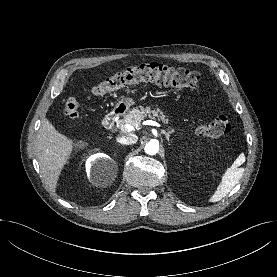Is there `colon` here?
Listing matches in <instances>:
<instances>
[{
	"label": "colon",
	"instance_id": "colon-1",
	"mask_svg": "<svg viewBox=\"0 0 277 277\" xmlns=\"http://www.w3.org/2000/svg\"><path fill=\"white\" fill-rule=\"evenodd\" d=\"M141 82H153L158 85L176 88L199 89L200 76L197 72L185 69H174L162 64L152 63L131 68L115 74L90 88L93 95H103L128 85ZM80 104L74 97H69L64 105V114L75 119L79 116ZM231 130V121L226 115H219L210 122L201 123L197 128L200 136L217 138Z\"/></svg>",
	"mask_w": 277,
	"mask_h": 277
}]
</instances>
